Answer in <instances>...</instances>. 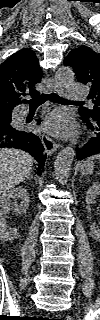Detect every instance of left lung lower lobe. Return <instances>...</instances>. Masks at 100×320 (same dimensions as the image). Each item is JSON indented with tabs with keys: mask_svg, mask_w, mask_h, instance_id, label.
Instances as JSON below:
<instances>
[{
	"mask_svg": "<svg viewBox=\"0 0 100 320\" xmlns=\"http://www.w3.org/2000/svg\"><path fill=\"white\" fill-rule=\"evenodd\" d=\"M82 120L86 123V126L96 134V136L92 137L82 148L76 149L78 160H82L95 154H100V117L91 119L82 117Z\"/></svg>",
	"mask_w": 100,
	"mask_h": 320,
	"instance_id": "1",
	"label": "left lung lower lobe"
}]
</instances>
